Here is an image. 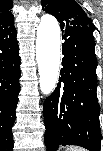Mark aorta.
Segmentation results:
<instances>
[{"label":"aorta","instance_id":"1","mask_svg":"<svg viewBox=\"0 0 103 151\" xmlns=\"http://www.w3.org/2000/svg\"><path fill=\"white\" fill-rule=\"evenodd\" d=\"M36 60L40 90L50 95L57 84L60 66V26L56 18L45 14L37 28Z\"/></svg>","mask_w":103,"mask_h":151}]
</instances>
